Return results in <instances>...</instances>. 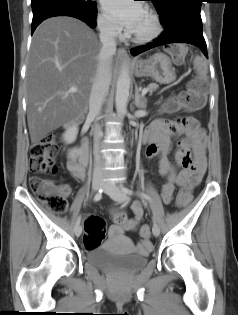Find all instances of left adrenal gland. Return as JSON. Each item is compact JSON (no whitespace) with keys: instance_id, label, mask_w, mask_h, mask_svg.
<instances>
[{"instance_id":"a2214340","label":"left adrenal gland","mask_w":238,"mask_h":315,"mask_svg":"<svg viewBox=\"0 0 238 315\" xmlns=\"http://www.w3.org/2000/svg\"><path fill=\"white\" fill-rule=\"evenodd\" d=\"M147 100L144 95L140 94L138 86L135 85V98H134V104L137 108H146Z\"/></svg>"}]
</instances>
